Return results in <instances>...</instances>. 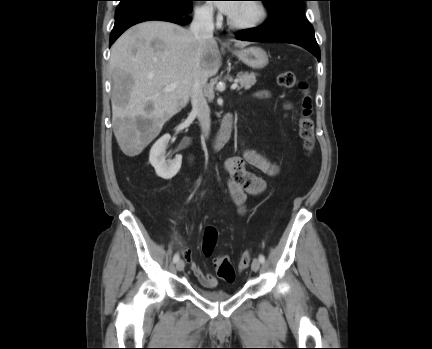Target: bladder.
Returning <instances> with one entry per match:
<instances>
[{"instance_id": "1", "label": "bladder", "mask_w": 432, "mask_h": 349, "mask_svg": "<svg viewBox=\"0 0 432 349\" xmlns=\"http://www.w3.org/2000/svg\"><path fill=\"white\" fill-rule=\"evenodd\" d=\"M198 293L206 300L213 302H222L231 296L229 292L221 289H206L201 287L198 288Z\"/></svg>"}]
</instances>
